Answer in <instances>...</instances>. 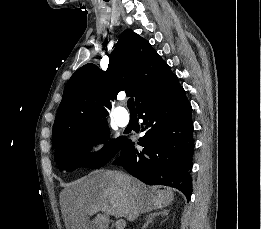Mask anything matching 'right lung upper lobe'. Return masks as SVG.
Instances as JSON below:
<instances>
[{
	"instance_id": "cb5924a9",
	"label": "right lung upper lobe",
	"mask_w": 261,
	"mask_h": 229,
	"mask_svg": "<svg viewBox=\"0 0 261 229\" xmlns=\"http://www.w3.org/2000/svg\"><path fill=\"white\" fill-rule=\"evenodd\" d=\"M175 76L151 45L132 30H125L113 51L107 71L94 64L79 68L67 82L55 118L52 149L66 138L65 129L107 122L111 102L125 90L136 107L155 95ZM105 106V107H104Z\"/></svg>"
}]
</instances>
